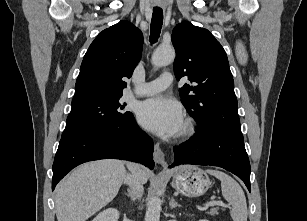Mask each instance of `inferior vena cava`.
<instances>
[{
  "label": "inferior vena cava",
  "mask_w": 307,
  "mask_h": 221,
  "mask_svg": "<svg viewBox=\"0 0 307 221\" xmlns=\"http://www.w3.org/2000/svg\"><path fill=\"white\" fill-rule=\"evenodd\" d=\"M127 166L131 173L125 176L124 183L130 186V188L132 189L137 198H140L142 197L144 191L143 184L140 181V179L131 171L133 164L129 163Z\"/></svg>",
  "instance_id": "obj_1"
}]
</instances>
